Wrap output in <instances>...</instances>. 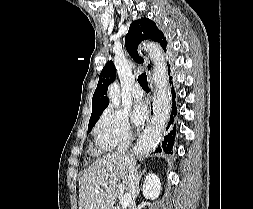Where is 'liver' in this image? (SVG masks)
<instances>
[{"mask_svg": "<svg viewBox=\"0 0 253 209\" xmlns=\"http://www.w3.org/2000/svg\"><path fill=\"white\" fill-rule=\"evenodd\" d=\"M130 165L136 172L138 166L135 158L117 152L108 154L90 165L79 181V209H113L119 186L127 190L132 197Z\"/></svg>", "mask_w": 253, "mask_h": 209, "instance_id": "6515ba94", "label": "liver"}]
</instances>
